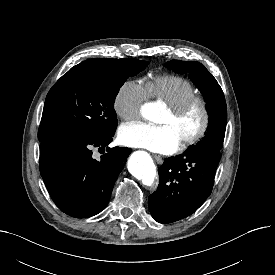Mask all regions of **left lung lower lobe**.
<instances>
[{"instance_id": "obj_1", "label": "left lung lower lobe", "mask_w": 275, "mask_h": 275, "mask_svg": "<svg viewBox=\"0 0 275 275\" xmlns=\"http://www.w3.org/2000/svg\"><path fill=\"white\" fill-rule=\"evenodd\" d=\"M220 158V150L206 147L165 159L158 188L149 196L152 217L171 223L194 213L211 194Z\"/></svg>"}]
</instances>
